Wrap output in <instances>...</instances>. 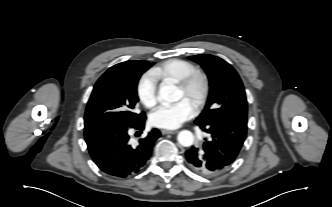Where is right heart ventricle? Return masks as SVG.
<instances>
[{
	"mask_svg": "<svg viewBox=\"0 0 332 207\" xmlns=\"http://www.w3.org/2000/svg\"><path fill=\"white\" fill-rule=\"evenodd\" d=\"M196 69L195 65L187 60L169 59L152 69V75L159 80L178 82Z\"/></svg>",
	"mask_w": 332,
	"mask_h": 207,
	"instance_id": "e07e8e85",
	"label": "right heart ventricle"
}]
</instances>
